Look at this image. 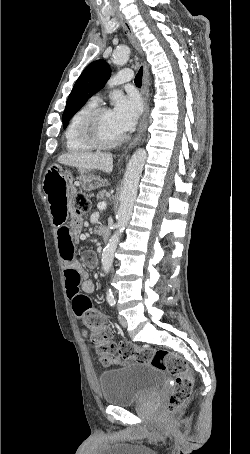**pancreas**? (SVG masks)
Here are the masks:
<instances>
[{
	"label": "pancreas",
	"instance_id": "1",
	"mask_svg": "<svg viewBox=\"0 0 250 454\" xmlns=\"http://www.w3.org/2000/svg\"><path fill=\"white\" fill-rule=\"evenodd\" d=\"M104 197H105V191H101V192H99V194L97 195V198H98V199H104Z\"/></svg>",
	"mask_w": 250,
	"mask_h": 454
}]
</instances>
